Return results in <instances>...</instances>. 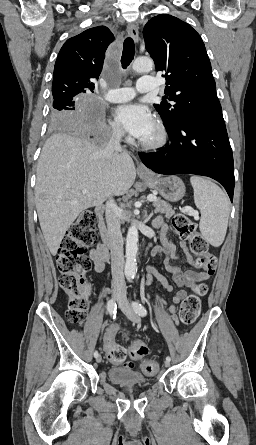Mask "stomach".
Returning a JSON list of instances; mask_svg holds the SVG:
<instances>
[{
  "instance_id": "obj_1",
  "label": "stomach",
  "mask_w": 256,
  "mask_h": 445,
  "mask_svg": "<svg viewBox=\"0 0 256 445\" xmlns=\"http://www.w3.org/2000/svg\"><path fill=\"white\" fill-rule=\"evenodd\" d=\"M141 178L149 188L157 191L167 201L177 202L185 195V185L177 176L165 178L156 176L145 178L141 176Z\"/></svg>"
}]
</instances>
